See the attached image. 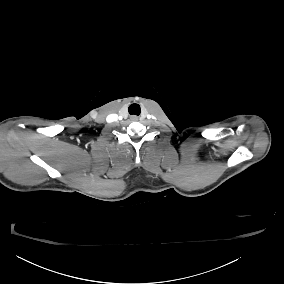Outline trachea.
I'll return each mask as SVG.
<instances>
[{"instance_id":"3493384b","label":"trachea","mask_w":284,"mask_h":284,"mask_svg":"<svg viewBox=\"0 0 284 284\" xmlns=\"http://www.w3.org/2000/svg\"><path fill=\"white\" fill-rule=\"evenodd\" d=\"M128 112L131 114V115H140L141 113V108L138 104H131L128 108Z\"/></svg>"}]
</instances>
